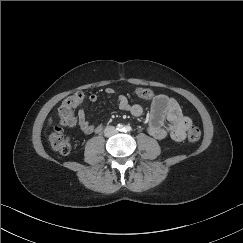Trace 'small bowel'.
<instances>
[{
  "label": "small bowel",
  "instance_id": "obj_1",
  "mask_svg": "<svg viewBox=\"0 0 243 243\" xmlns=\"http://www.w3.org/2000/svg\"><path fill=\"white\" fill-rule=\"evenodd\" d=\"M105 95L110 96L114 93L113 88L107 87L104 90ZM139 98L146 99L150 103V115L147 131L155 139H163L170 136L175 141H182L185 138L186 131L191 126V119L185 116L178 102L166 94H154L148 89H139L137 91ZM99 95L92 93L88 97L90 103L99 101ZM117 107L122 111L129 112L134 117H139L144 112L141 103L130 104L124 96L117 99ZM79 127L86 133L97 130L100 124H94L89 118L87 107H82L78 112ZM167 120L168 125L164 126Z\"/></svg>",
  "mask_w": 243,
  "mask_h": 243
}]
</instances>
